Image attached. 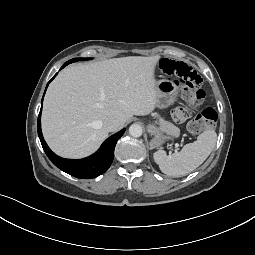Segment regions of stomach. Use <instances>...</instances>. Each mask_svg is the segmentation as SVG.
<instances>
[{
	"label": "stomach",
	"mask_w": 255,
	"mask_h": 255,
	"mask_svg": "<svg viewBox=\"0 0 255 255\" xmlns=\"http://www.w3.org/2000/svg\"><path fill=\"white\" fill-rule=\"evenodd\" d=\"M156 90L158 107L166 108L176 101L178 87L173 82L159 80L156 82ZM148 131L154 136L151 142L153 147H159L165 140L178 137L177 135L165 131L154 124H150L148 126ZM164 133L166 135H164Z\"/></svg>",
	"instance_id": "0dacf381"
}]
</instances>
